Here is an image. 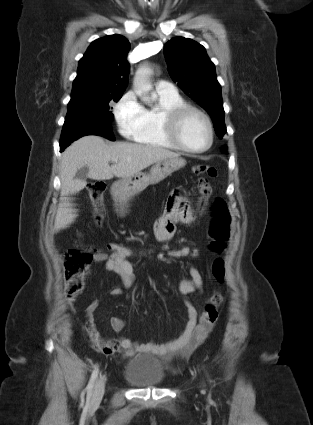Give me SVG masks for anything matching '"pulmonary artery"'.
Wrapping results in <instances>:
<instances>
[{
  "label": "pulmonary artery",
  "instance_id": "pulmonary-artery-1",
  "mask_svg": "<svg viewBox=\"0 0 313 425\" xmlns=\"http://www.w3.org/2000/svg\"><path fill=\"white\" fill-rule=\"evenodd\" d=\"M156 91L164 94L174 95L177 90L174 85L166 80H159L156 82Z\"/></svg>",
  "mask_w": 313,
  "mask_h": 425
}]
</instances>
